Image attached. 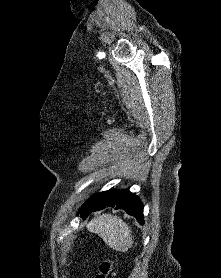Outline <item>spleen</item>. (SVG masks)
Instances as JSON below:
<instances>
[{"instance_id": "obj_1", "label": "spleen", "mask_w": 221, "mask_h": 278, "mask_svg": "<svg viewBox=\"0 0 221 278\" xmlns=\"http://www.w3.org/2000/svg\"><path fill=\"white\" fill-rule=\"evenodd\" d=\"M88 231L99 235L113 250L126 252L133 246L130 227L118 216L103 214L87 224Z\"/></svg>"}]
</instances>
